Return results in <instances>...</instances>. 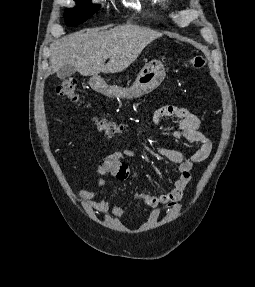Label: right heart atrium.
<instances>
[{
    "label": "right heart atrium",
    "mask_w": 255,
    "mask_h": 287,
    "mask_svg": "<svg viewBox=\"0 0 255 287\" xmlns=\"http://www.w3.org/2000/svg\"><path fill=\"white\" fill-rule=\"evenodd\" d=\"M116 48H125V47H116Z\"/></svg>",
    "instance_id": "obj_1"
}]
</instances>
